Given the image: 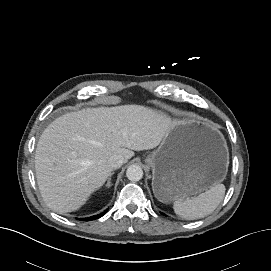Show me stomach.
Instances as JSON below:
<instances>
[{
	"label": "stomach",
	"mask_w": 271,
	"mask_h": 271,
	"mask_svg": "<svg viewBox=\"0 0 271 271\" xmlns=\"http://www.w3.org/2000/svg\"><path fill=\"white\" fill-rule=\"evenodd\" d=\"M145 162L152 169L155 197L168 204L223 181L229 152L217 128L207 121L183 117L172 122L160 146Z\"/></svg>",
	"instance_id": "1"
}]
</instances>
